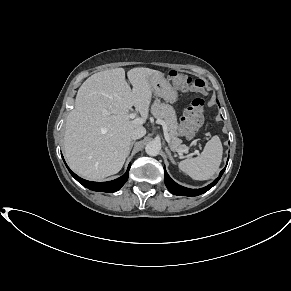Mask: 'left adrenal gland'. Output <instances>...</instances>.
I'll return each mask as SVG.
<instances>
[{"label":"left adrenal gland","mask_w":291,"mask_h":291,"mask_svg":"<svg viewBox=\"0 0 291 291\" xmlns=\"http://www.w3.org/2000/svg\"><path fill=\"white\" fill-rule=\"evenodd\" d=\"M165 150H166V152H167V154H168V156H169L170 161H171L173 164H175V161H174V159H173V156L171 155V152L169 151L168 147H166Z\"/></svg>","instance_id":"left-adrenal-gland-1"}]
</instances>
